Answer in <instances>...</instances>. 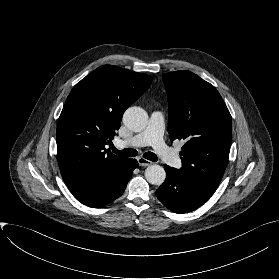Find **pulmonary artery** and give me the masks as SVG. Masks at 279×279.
<instances>
[{
    "label": "pulmonary artery",
    "instance_id": "1",
    "mask_svg": "<svg viewBox=\"0 0 279 279\" xmlns=\"http://www.w3.org/2000/svg\"><path fill=\"white\" fill-rule=\"evenodd\" d=\"M165 116L161 111H154L150 115L148 125L138 135L121 141L120 144L129 147L152 146L157 155L168 165L174 168L181 167V159L170 150L163 140Z\"/></svg>",
    "mask_w": 279,
    "mask_h": 279
}]
</instances>
